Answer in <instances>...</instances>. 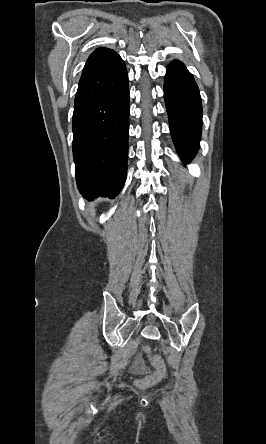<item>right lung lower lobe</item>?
Returning a JSON list of instances; mask_svg holds the SVG:
<instances>
[{"label": "right lung lower lobe", "mask_w": 266, "mask_h": 444, "mask_svg": "<svg viewBox=\"0 0 266 444\" xmlns=\"http://www.w3.org/2000/svg\"><path fill=\"white\" fill-rule=\"evenodd\" d=\"M72 128L80 193L88 200L118 195L126 180L129 132L128 74L119 55L79 84Z\"/></svg>", "instance_id": "98d812e1"}]
</instances>
